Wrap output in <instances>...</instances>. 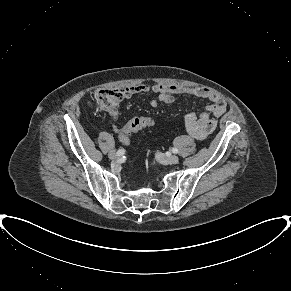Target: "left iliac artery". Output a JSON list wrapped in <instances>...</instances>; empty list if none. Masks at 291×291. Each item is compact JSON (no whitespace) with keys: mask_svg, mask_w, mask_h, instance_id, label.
Wrapping results in <instances>:
<instances>
[{"mask_svg":"<svg viewBox=\"0 0 291 291\" xmlns=\"http://www.w3.org/2000/svg\"><path fill=\"white\" fill-rule=\"evenodd\" d=\"M172 152L176 154V153H178V149L177 148H172Z\"/></svg>","mask_w":291,"mask_h":291,"instance_id":"44dca946","label":"left iliac artery"}]
</instances>
